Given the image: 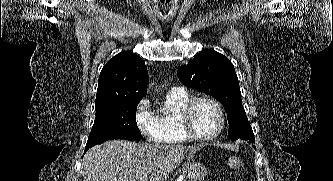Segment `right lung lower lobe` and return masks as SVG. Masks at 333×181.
Instances as JSON below:
<instances>
[{
  "label": "right lung lower lobe",
  "instance_id": "98d812e1",
  "mask_svg": "<svg viewBox=\"0 0 333 181\" xmlns=\"http://www.w3.org/2000/svg\"><path fill=\"white\" fill-rule=\"evenodd\" d=\"M88 149H89V148H88V147H86V148H85V152H86Z\"/></svg>",
  "mask_w": 333,
  "mask_h": 181
}]
</instances>
